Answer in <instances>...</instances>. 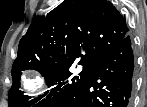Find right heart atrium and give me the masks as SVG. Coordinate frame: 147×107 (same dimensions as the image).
<instances>
[{"instance_id":"right-heart-atrium-1","label":"right heart atrium","mask_w":147,"mask_h":107,"mask_svg":"<svg viewBox=\"0 0 147 107\" xmlns=\"http://www.w3.org/2000/svg\"><path fill=\"white\" fill-rule=\"evenodd\" d=\"M25 87L29 92H35L41 87V82L37 78L26 79Z\"/></svg>"}]
</instances>
